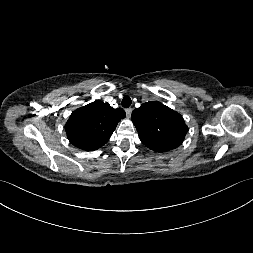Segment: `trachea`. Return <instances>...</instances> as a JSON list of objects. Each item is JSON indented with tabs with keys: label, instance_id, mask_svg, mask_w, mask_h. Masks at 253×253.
I'll return each instance as SVG.
<instances>
[{
	"label": "trachea",
	"instance_id": "obj_1",
	"mask_svg": "<svg viewBox=\"0 0 253 253\" xmlns=\"http://www.w3.org/2000/svg\"><path fill=\"white\" fill-rule=\"evenodd\" d=\"M131 103H132L131 98L129 96H125L121 104L124 108H128L131 105Z\"/></svg>",
	"mask_w": 253,
	"mask_h": 253
}]
</instances>
